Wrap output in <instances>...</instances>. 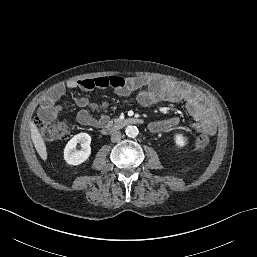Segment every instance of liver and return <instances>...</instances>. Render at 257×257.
Returning <instances> with one entry per match:
<instances>
[{
  "label": "liver",
  "mask_w": 257,
  "mask_h": 257,
  "mask_svg": "<svg viewBox=\"0 0 257 257\" xmlns=\"http://www.w3.org/2000/svg\"><path fill=\"white\" fill-rule=\"evenodd\" d=\"M30 132H31V139L33 141V144L35 146L37 153L39 154L41 159L45 161L47 159V150H46L45 142L33 121L30 122Z\"/></svg>",
  "instance_id": "1"
}]
</instances>
